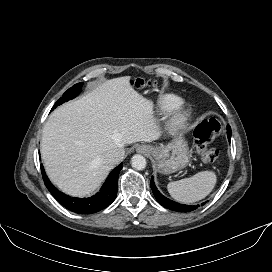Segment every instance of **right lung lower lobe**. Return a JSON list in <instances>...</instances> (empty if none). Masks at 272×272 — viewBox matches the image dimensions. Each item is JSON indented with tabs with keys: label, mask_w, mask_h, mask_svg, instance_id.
<instances>
[{
	"label": "right lung lower lobe",
	"mask_w": 272,
	"mask_h": 272,
	"mask_svg": "<svg viewBox=\"0 0 272 272\" xmlns=\"http://www.w3.org/2000/svg\"><path fill=\"white\" fill-rule=\"evenodd\" d=\"M122 169V163L112 170L102 189L90 198H74L60 192L49 181L41 165L42 177L53 197L70 211L79 214L96 213L109 206L116 198L118 188V175Z\"/></svg>",
	"instance_id": "right-lung-lower-lobe-1"
}]
</instances>
